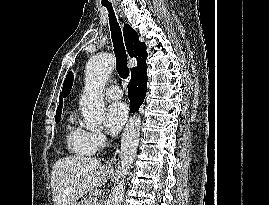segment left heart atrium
<instances>
[{
    "mask_svg": "<svg viewBox=\"0 0 269 205\" xmlns=\"http://www.w3.org/2000/svg\"><path fill=\"white\" fill-rule=\"evenodd\" d=\"M128 116V108L124 102H113L107 110L106 130L109 134H117L125 124Z\"/></svg>",
    "mask_w": 269,
    "mask_h": 205,
    "instance_id": "39dd6f15",
    "label": "left heart atrium"
}]
</instances>
